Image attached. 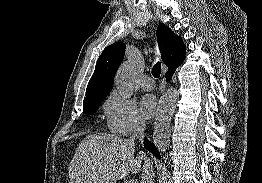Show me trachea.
Here are the masks:
<instances>
[{
	"mask_svg": "<svg viewBox=\"0 0 262 183\" xmlns=\"http://www.w3.org/2000/svg\"><path fill=\"white\" fill-rule=\"evenodd\" d=\"M161 74V63L157 62L152 68V75L155 78H159Z\"/></svg>",
	"mask_w": 262,
	"mask_h": 183,
	"instance_id": "3493384b",
	"label": "trachea"
}]
</instances>
